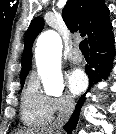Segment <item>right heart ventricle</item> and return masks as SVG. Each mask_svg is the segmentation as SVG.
<instances>
[{"instance_id":"e07e8e85","label":"right heart ventricle","mask_w":116,"mask_h":134,"mask_svg":"<svg viewBox=\"0 0 116 134\" xmlns=\"http://www.w3.org/2000/svg\"><path fill=\"white\" fill-rule=\"evenodd\" d=\"M50 97L39 88L38 79L31 75L22 95L21 118L28 126H43L52 120Z\"/></svg>"}]
</instances>
